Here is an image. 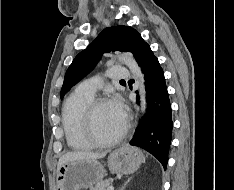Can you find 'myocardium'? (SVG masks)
Listing matches in <instances>:
<instances>
[{
    "instance_id": "obj_1",
    "label": "myocardium",
    "mask_w": 234,
    "mask_h": 190,
    "mask_svg": "<svg viewBox=\"0 0 234 190\" xmlns=\"http://www.w3.org/2000/svg\"><path fill=\"white\" fill-rule=\"evenodd\" d=\"M107 103V99L99 97L93 98L88 105L86 106L83 113V123L84 130L87 138L91 141V143L95 146H111L119 142L127 133L128 123H124L123 128L113 137L108 139L100 138L94 129V115L96 110L102 104Z\"/></svg>"
}]
</instances>
